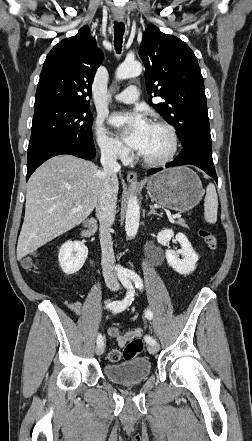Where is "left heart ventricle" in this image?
<instances>
[{"instance_id": "1", "label": "left heart ventricle", "mask_w": 252, "mask_h": 441, "mask_svg": "<svg viewBox=\"0 0 252 441\" xmlns=\"http://www.w3.org/2000/svg\"><path fill=\"white\" fill-rule=\"evenodd\" d=\"M171 147L167 132L151 125L147 134L144 148L140 152L143 156L151 159H159L165 156Z\"/></svg>"}]
</instances>
